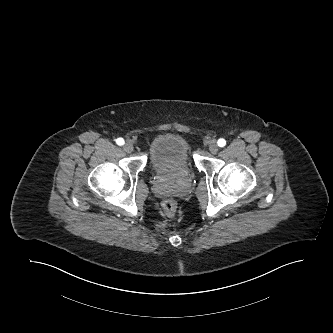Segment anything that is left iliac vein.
<instances>
[{
  "label": "left iliac vein",
  "mask_w": 333,
  "mask_h": 333,
  "mask_svg": "<svg viewBox=\"0 0 333 333\" xmlns=\"http://www.w3.org/2000/svg\"><path fill=\"white\" fill-rule=\"evenodd\" d=\"M219 150V147H218V144L215 140L211 141L210 144H209V151L212 153V154H216Z\"/></svg>",
  "instance_id": "obj_1"
}]
</instances>
